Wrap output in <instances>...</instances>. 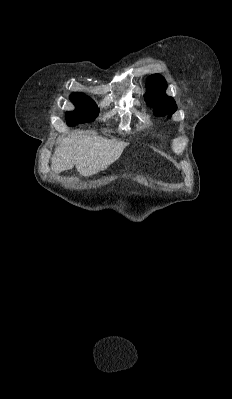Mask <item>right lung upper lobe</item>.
<instances>
[{
  "mask_svg": "<svg viewBox=\"0 0 232 399\" xmlns=\"http://www.w3.org/2000/svg\"><path fill=\"white\" fill-rule=\"evenodd\" d=\"M71 95H84L83 93H72Z\"/></svg>",
  "mask_w": 232,
  "mask_h": 399,
  "instance_id": "1",
  "label": "right lung upper lobe"
}]
</instances>
